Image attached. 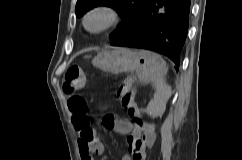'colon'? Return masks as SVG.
<instances>
[{"instance_id": "colon-1", "label": "colon", "mask_w": 242, "mask_h": 160, "mask_svg": "<svg viewBox=\"0 0 242 160\" xmlns=\"http://www.w3.org/2000/svg\"><path fill=\"white\" fill-rule=\"evenodd\" d=\"M84 83L85 77L81 67L76 65L71 66L66 71L63 78V91L72 94L82 88ZM118 94L121 99V104L126 109L128 116L133 120L141 122L138 108L135 103L134 90L129 79H126L121 83L118 89ZM68 107L70 112L76 118L77 125L83 129L89 128L82 132V136L85 139L93 138L94 133L90 127V119L87 116L88 105L85 99L79 95H73L68 101Z\"/></svg>"}]
</instances>
